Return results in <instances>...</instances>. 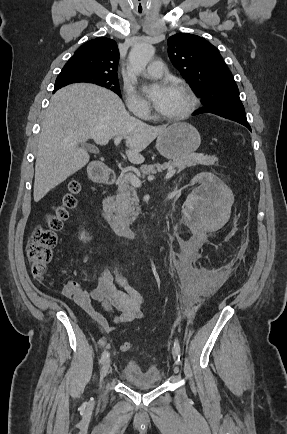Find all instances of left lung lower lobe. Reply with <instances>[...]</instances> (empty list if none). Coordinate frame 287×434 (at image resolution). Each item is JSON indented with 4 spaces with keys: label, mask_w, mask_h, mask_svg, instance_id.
Instances as JSON below:
<instances>
[{
    "label": "left lung lower lobe",
    "mask_w": 287,
    "mask_h": 434,
    "mask_svg": "<svg viewBox=\"0 0 287 434\" xmlns=\"http://www.w3.org/2000/svg\"><path fill=\"white\" fill-rule=\"evenodd\" d=\"M202 113H214V114L219 115L221 117H224L226 119L236 121V122L246 126L249 130H251V127L247 122L245 111H237V110H229V109H223V110H219V111H210L207 109H199L194 113V115H198V114H202Z\"/></svg>",
    "instance_id": "left-lung-lower-lobe-1"
}]
</instances>
